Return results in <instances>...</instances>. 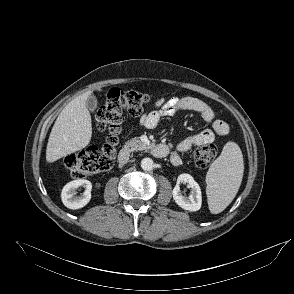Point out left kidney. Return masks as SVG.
I'll use <instances>...</instances> for the list:
<instances>
[{"instance_id":"obj_1","label":"left kidney","mask_w":294,"mask_h":294,"mask_svg":"<svg viewBox=\"0 0 294 294\" xmlns=\"http://www.w3.org/2000/svg\"><path fill=\"white\" fill-rule=\"evenodd\" d=\"M180 182L187 183L191 188L189 197H184L181 193ZM173 199L181 208L188 211H198L202 204V195L199 184L189 174H181L177 179V185L172 191Z\"/></svg>"}]
</instances>
